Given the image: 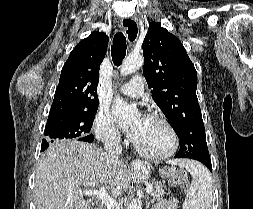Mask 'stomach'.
<instances>
[{
	"instance_id": "1",
	"label": "stomach",
	"mask_w": 253,
	"mask_h": 209,
	"mask_svg": "<svg viewBox=\"0 0 253 209\" xmlns=\"http://www.w3.org/2000/svg\"><path fill=\"white\" fill-rule=\"evenodd\" d=\"M146 169V168H145ZM158 175L162 177V179H167V171H159Z\"/></svg>"
}]
</instances>
